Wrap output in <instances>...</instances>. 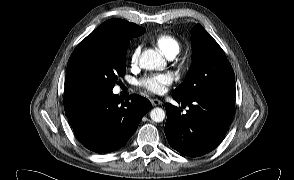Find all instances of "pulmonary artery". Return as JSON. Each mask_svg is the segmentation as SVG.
<instances>
[{"label": "pulmonary artery", "mask_w": 294, "mask_h": 180, "mask_svg": "<svg viewBox=\"0 0 294 180\" xmlns=\"http://www.w3.org/2000/svg\"><path fill=\"white\" fill-rule=\"evenodd\" d=\"M167 58H168L169 60H172V59L175 58V56L171 55V56H168Z\"/></svg>", "instance_id": "1"}]
</instances>
